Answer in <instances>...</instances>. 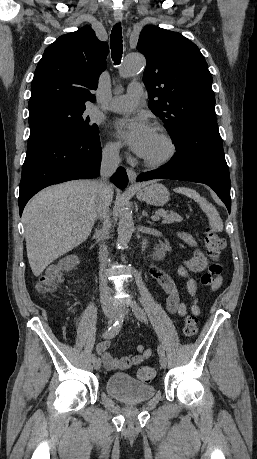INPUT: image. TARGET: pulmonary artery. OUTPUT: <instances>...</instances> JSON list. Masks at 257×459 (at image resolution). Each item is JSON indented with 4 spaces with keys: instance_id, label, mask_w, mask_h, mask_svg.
<instances>
[{
    "instance_id": "pulmonary-artery-1",
    "label": "pulmonary artery",
    "mask_w": 257,
    "mask_h": 459,
    "mask_svg": "<svg viewBox=\"0 0 257 459\" xmlns=\"http://www.w3.org/2000/svg\"><path fill=\"white\" fill-rule=\"evenodd\" d=\"M142 94V84L133 82L128 86L126 94L112 97L103 108L114 112L131 110L138 105V101Z\"/></svg>"
}]
</instances>
